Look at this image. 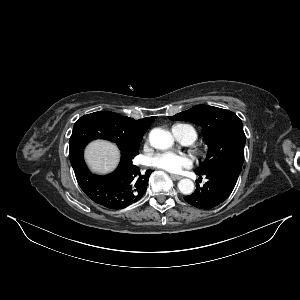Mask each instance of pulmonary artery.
<instances>
[{"label": "pulmonary artery", "mask_w": 300, "mask_h": 300, "mask_svg": "<svg viewBox=\"0 0 300 300\" xmlns=\"http://www.w3.org/2000/svg\"><path fill=\"white\" fill-rule=\"evenodd\" d=\"M172 133L177 140L184 144H191L196 139V132L189 125H176L172 129Z\"/></svg>", "instance_id": "obj_1"}]
</instances>
